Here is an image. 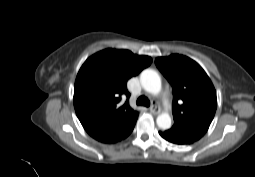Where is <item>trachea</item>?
I'll return each mask as SVG.
<instances>
[{"label":"trachea","instance_id":"1","mask_svg":"<svg viewBox=\"0 0 255 177\" xmlns=\"http://www.w3.org/2000/svg\"><path fill=\"white\" fill-rule=\"evenodd\" d=\"M137 105H142V106H146L148 107L150 105V102L148 100L147 97L145 96H140L138 99H137Z\"/></svg>","mask_w":255,"mask_h":177}]
</instances>
